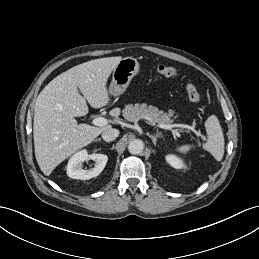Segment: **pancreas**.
I'll return each instance as SVG.
<instances>
[{"label": "pancreas", "mask_w": 259, "mask_h": 259, "mask_svg": "<svg viewBox=\"0 0 259 259\" xmlns=\"http://www.w3.org/2000/svg\"><path fill=\"white\" fill-rule=\"evenodd\" d=\"M173 112L169 111L164 113L162 110H158L157 107L152 105L135 104V105H126L123 110V116L128 121H136L139 119H147L151 123L171 125L173 123Z\"/></svg>", "instance_id": "cf45deb5"}]
</instances>
